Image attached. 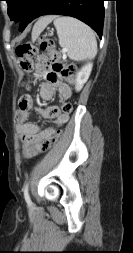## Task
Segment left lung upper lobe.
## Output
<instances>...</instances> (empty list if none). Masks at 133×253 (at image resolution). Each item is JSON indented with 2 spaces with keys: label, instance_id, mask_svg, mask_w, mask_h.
I'll use <instances>...</instances> for the list:
<instances>
[{
  "label": "left lung upper lobe",
  "instance_id": "1",
  "mask_svg": "<svg viewBox=\"0 0 133 253\" xmlns=\"http://www.w3.org/2000/svg\"><path fill=\"white\" fill-rule=\"evenodd\" d=\"M8 4V15L11 20L19 22L30 0H5Z\"/></svg>",
  "mask_w": 133,
  "mask_h": 253
}]
</instances>
